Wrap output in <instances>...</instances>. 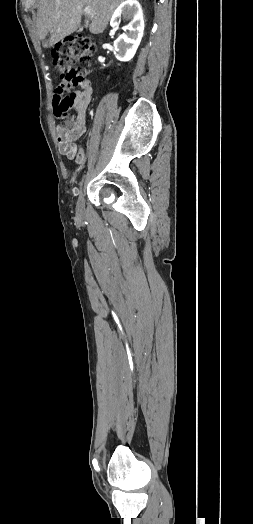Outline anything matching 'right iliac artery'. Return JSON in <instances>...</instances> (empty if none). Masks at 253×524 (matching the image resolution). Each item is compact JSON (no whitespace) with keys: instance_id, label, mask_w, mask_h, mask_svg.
Returning <instances> with one entry per match:
<instances>
[{"instance_id":"82829eb1","label":"right iliac artery","mask_w":253,"mask_h":524,"mask_svg":"<svg viewBox=\"0 0 253 524\" xmlns=\"http://www.w3.org/2000/svg\"><path fill=\"white\" fill-rule=\"evenodd\" d=\"M84 177H85V175L83 176V179L79 183V189H82ZM78 192H79V190H78Z\"/></svg>"}]
</instances>
